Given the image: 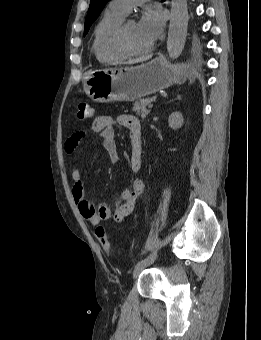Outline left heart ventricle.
Listing matches in <instances>:
<instances>
[{
  "label": "left heart ventricle",
  "instance_id": "b2bd125f",
  "mask_svg": "<svg viewBox=\"0 0 261 340\" xmlns=\"http://www.w3.org/2000/svg\"><path fill=\"white\" fill-rule=\"evenodd\" d=\"M129 45L135 50H142L151 45L149 40L139 31L138 25L134 20H129L126 27Z\"/></svg>",
  "mask_w": 261,
  "mask_h": 340
}]
</instances>
